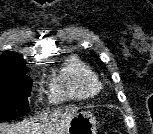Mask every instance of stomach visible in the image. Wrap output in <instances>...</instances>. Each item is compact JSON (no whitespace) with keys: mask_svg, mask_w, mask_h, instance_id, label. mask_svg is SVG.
I'll list each match as a JSON object with an SVG mask.
<instances>
[{"mask_svg":"<svg viewBox=\"0 0 153 134\" xmlns=\"http://www.w3.org/2000/svg\"><path fill=\"white\" fill-rule=\"evenodd\" d=\"M97 121L89 111H80L74 114L65 134H96Z\"/></svg>","mask_w":153,"mask_h":134,"instance_id":"1","label":"stomach"}]
</instances>
